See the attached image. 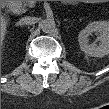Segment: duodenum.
<instances>
[{
	"label": "duodenum",
	"instance_id": "duodenum-1",
	"mask_svg": "<svg viewBox=\"0 0 109 109\" xmlns=\"http://www.w3.org/2000/svg\"><path fill=\"white\" fill-rule=\"evenodd\" d=\"M13 6H14V4H12V3L9 4V7H10L11 9L13 8Z\"/></svg>",
	"mask_w": 109,
	"mask_h": 109
}]
</instances>
